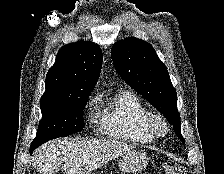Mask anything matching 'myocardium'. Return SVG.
<instances>
[{
    "label": "myocardium",
    "mask_w": 224,
    "mask_h": 174,
    "mask_svg": "<svg viewBox=\"0 0 224 174\" xmlns=\"http://www.w3.org/2000/svg\"><path fill=\"white\" fill-rule=\"evenodd\" d=\"M143 126L154 138L163 137L168 132V123L166 119L158 113L148 112L143 119Z\"/></svg>",
    "instance_id": "myocardium-1"
}]
</instances>
